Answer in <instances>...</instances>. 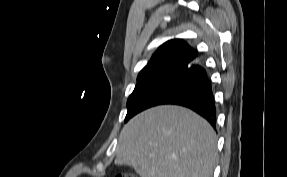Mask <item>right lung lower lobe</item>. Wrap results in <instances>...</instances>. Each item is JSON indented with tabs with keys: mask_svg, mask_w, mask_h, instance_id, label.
Segmentation results:
<instances>
[{
	"mask_svg": "<svg viewBox=\"0 0 287 177\" xmlns=\"http://www.w3.org/2000/svg\"><path fill=\"white\" fill-rule=\"evenodd\" d=\"M176 104L204 117L214 128L216 107L211 82L205 69L196 61L180 65L158 78L133 103L132 116L156 105Z\"/></svg>",
	"mask_w": 287,
	"mask_h": 177,
	"instance_id": "1",
	"label": "right lung lower lobe"
}]
</instances>
